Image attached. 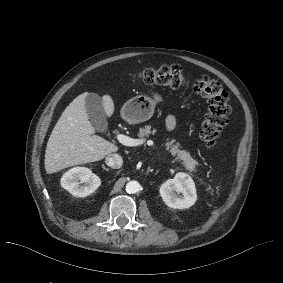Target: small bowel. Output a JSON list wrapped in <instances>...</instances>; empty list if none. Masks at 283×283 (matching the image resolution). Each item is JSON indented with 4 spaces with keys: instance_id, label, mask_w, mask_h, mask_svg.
<instances>
[{
    "instance_id": "obj_1",
    "label": "small bowel",
    "mask_w": 283,
    "mask_h": 283,
    "mask_svg": "<svg viewBox=\"0 0 283 283\" xmlns=\"http://www.w3.org/2000/svg\"><path fill=\"white\" fill-rule=\"evenodd\" d=\"M165 124L168 131H173L176 128L177 124L176 118L173 115H168L166 117Z\"/></svg>"
}]
</instances>
